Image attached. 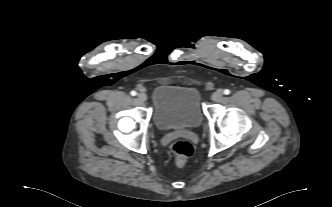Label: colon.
I'll list each match as a JSON object with an SVG mask.
<instances>
[{
	"label": "colon",
	"instance_id": "obj_1",
	"mask_svg": "<svg viewBox=\"0 0 332 207\" xmlns=\"http://www.w3.org/2000/svg\"><path fill=\"white\" fill-rule=\"evenodd\" d=\"M170 150L175 157L176 164L179 166L183 165L195 152L194 146L184 139L174 141L170 146Z\"/></svg>",
	"mask_w": 332,
	"mask_h": 207
}]
</instances>
